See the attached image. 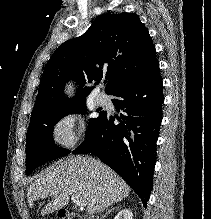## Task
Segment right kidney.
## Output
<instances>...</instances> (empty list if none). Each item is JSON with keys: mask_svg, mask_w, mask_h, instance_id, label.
I'll return each instance as SVG.
<instances>
[{"mask_svg": "<svg viewBox=\"0 0 211 219\" xmlns=\"http://www.w3.org/2000/svg\"><path fill=\"white\" fill-rule=\"evenodd\" d=\"M114 219H133V214L129 209H123L118 212Z\"/></svg>", "mask_w": 211, "mask_h": 219, "instance_id": "1", "label": "right kidney"}]
</instances>
